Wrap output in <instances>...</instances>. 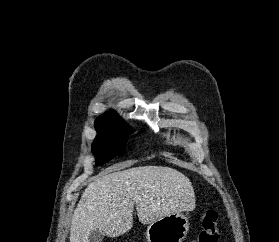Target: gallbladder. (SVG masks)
Segmentation results:
<instances>
[{
    "label": "gallbladder",
    "mask_w": 279,
    "mask_h": 242,
    "mask_svg": "<svg viewBox=\"0 0 279 242\" xmlns=\"http://www.w3.org/2000/svg\"><path fill=\"white\" fill-rule=\"evenodd\" d=\"M103 239V233L99 230L92 231L89 235V242H101Z\"/></svg>",
    "instance_id": "obj_1"
}]
</instances>
